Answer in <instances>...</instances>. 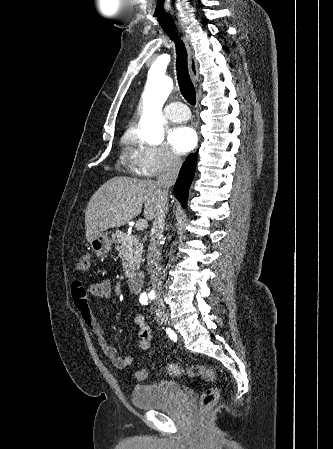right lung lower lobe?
<instances>
[{"label": "right lung lower lobe", "mask_w": 333, "mask_h": 449, "mask_svg": "<svg viewBox=\"0 0 333 449\" xmlns=\"http://www.w3.org/2000/svg\"><path fill=\"white\" fill-rule=\"evenodd\" d=\"M197 154L188 155L186 161L183 163L177 182L174 187V194L181 204L186 207L189 187L192 183L195 174Z\"/></svg>", "instance_id": "1"}]
</instances>
